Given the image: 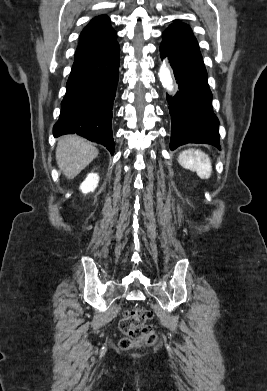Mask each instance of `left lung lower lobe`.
<instances>
[{
    "label": "left lung lower lobe",
    "mask_w": 267,
    "mask_h": 391,
    "mask_svg": "<svg viewBox=\"0 0 267 391\" xmlns=\"http://www.w3.org/2000/svg\"><path fill=\"white\" fill-rule=\"evenodd\" d=\"M161 58L168 57L179 91L167 95L171 115L170 149L187 143L220 148L219 121L212 109V93L196 38L192 32L170 25L163 32Z\"/></svg>",
    "instance_id": "0a47b994"
}]
</instances>
